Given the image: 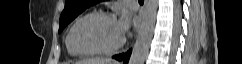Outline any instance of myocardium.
I'll use <instances>...</instances> for the list:
<instances>
[{
    "instance_id": "obj_1",
    "label": "myocardium",
    "mask_w": 242,
    "mask_h": 64,
    "mask_svg": "<svg viewBox=\"0 0 242 64\" xmlns=\"http://www.w3.org/2000/svg\"><path fill=\"white\" fill-rule=\"evenodd\" d=\"M91 17H102V18H107V19H111V20H116V18L113 14L108 13V12H103V11H94V12H90V13H87V14L81 16L80 18H78L75 21V23L72 25L70 32H69L68 39H69V43H70V46L72 47V49L79 55H85V56L86 55H109V54H112V53L116 52L117 50H119L125 43L124 36H122L121 40L117 44H115L112 47L106 48V49L87 50V49H81L76 45V43L74 41V33H75L76 28L82 21H84L88 18H91Z\"/></svg>"
}]
</instances>
